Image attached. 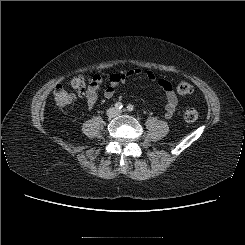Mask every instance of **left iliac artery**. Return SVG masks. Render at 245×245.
<instances>
[{"instance_id": "left-iliac-artery-1", "label": "left iliac artery", "mask_w": 245, "mask_h": 245, "mask_svg": "<svg viewBox=\"0 0 245 245\" xmlns=\"http://www.w3.org/2000/svg\"><path fill=\"white\" fill-rule=\"evenodd\" d=\"M127 110H128L129 112L133 111V110H134V106L131 105V104H129V105L127 106Z\"/></svg>"}]
</instances>
